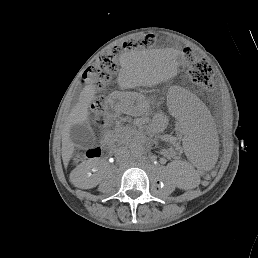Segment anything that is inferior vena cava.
<instances>
[{
    "label": "inferior vena cava",
    "mask_w": 258,
    "mask_h": 258,
    "mask_svg": "<svg viewBox=\"0 0 258 258\" xmlns=\"http://www.w3.org/2000/svg\"><path fill=\"white\" fill-rule=\"evenodd\" d=\"M125 153H126V150H125V149H119L118 152H117V158H118V160L122 161L123 156L125 155Z\"/></svg>",
    "instance_id": "602c4592"
}]
</instances>
